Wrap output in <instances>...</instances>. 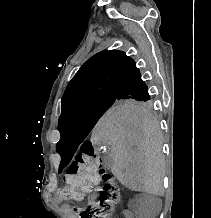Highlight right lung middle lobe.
<instances>
[{
	"label": "right lung middle lobe",
	"instance_id": "right-lung-middle-lobe-1",
	"mask_svg": "<svg viewBox=\"0 0 211 218\" xmlns=\"http://www.w3.org/2000/svg\"><path fill=\"white\" fill-rule=\"evenodd\" d=\"M153 108L151 98L103 97L81 102L61 113L58 129L59 143L79 145L95 126L100 117L109 109Z\"/></svg>",
	"mask_w": 211,
	"mask_h": 218
}]
</instances>
